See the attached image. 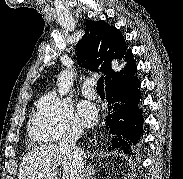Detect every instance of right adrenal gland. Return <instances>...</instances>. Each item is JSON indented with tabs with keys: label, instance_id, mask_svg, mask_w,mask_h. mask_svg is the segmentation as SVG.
Returning <instances> with one entry per match:
<instances>
[{
	"label": "right adrenal gland",
	"instance_id": "obj_1",
	"mask_svg": "<svg viewBox=\"0 0 183 179\" xmlns=\"http://www.w3.org/2000/svg\"><path fill=\"white\" fill-rule=\"evenodd\" d=\"M95 172V166H93L92 164H88L86 167V179H92Z\"/></svg>",
	"mask_w": 183,
	"mask_h": 179
}]
</instances>
